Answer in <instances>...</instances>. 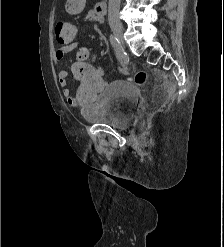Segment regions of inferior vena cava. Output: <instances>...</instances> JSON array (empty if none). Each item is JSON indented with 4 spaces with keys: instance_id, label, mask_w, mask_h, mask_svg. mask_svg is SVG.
<instances>
[{
    "instance_id": "inferior-vena-cava-1",
    "label": "inferior vena cava",
    "mask_w": 224,
    "mask_h": 247,
    "mask_svg": "<svg viewBox=\"0 0 224 247\" xmlns=\"http://www.w3.org/2000/svg\"><path fill=\"white\" fill-rule=\"evenodd\" d=\"M119 8H120V0H109V8H108V22H116V24H120L119 20Z\"/></svg>"
}]
</instances>
